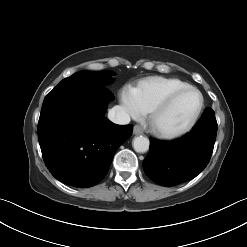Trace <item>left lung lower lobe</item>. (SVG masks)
<instances>
[{
	"mask_svg": "<svg viewBox=\"0 0 247 247\" xmlns=\"http://www.w3.org/2000/svg\"><path fill=\"white\" fill-rule=\"evenodd\" d=\"M217 134L215 113L206 108L192 131L173 141L150 138L149 154L143 161L146 175L171 187L195 178L207 166Z\"/></svg>",
	"mask_w": 247,
	"mask_h": 247,
	"instance_id": "obj_1",
	"label": "left lung lower lobe"
}]
</instances>
